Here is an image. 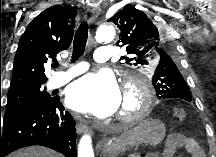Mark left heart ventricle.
<instances>
[{
  "mask_svg": "<svg viewBox=\"0 0 216 157\" xmlns=\"http://www.w3.org/2000/svg\"><path fill=\"white\" fill-rule=\"evenodd\" d=\"M137 106V100L135 96L131 93H128L123 96L122 103L118 109V114L120 113H128L134 110Z\"/></svg>",
  "mask_w": 216,
  "mask_h": 157,
  "instance_id": "obj_1",
  "label": "left heart ventricle"
}]
</instances>
